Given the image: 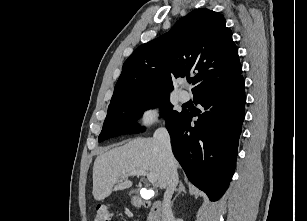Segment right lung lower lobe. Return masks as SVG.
<instances>
[{
    "label": "right lung lower lobe",
    "instance_id": "right-lung-lower-lobe-1",
    "mask_svg": "<svg viewBox=\"0 0 307 221\" xmlns=\"http://www.w3.org/2000/svg\"><path fill=\"white\" fill-rule=\"evenodd\" d=\"M244 80L238 84L194 97L197 109L195 126L192 114L181 115L166 124L174 156L188 179L203 190L211 201L227 189L236 166L238 141L244 120Z\"/></svg>",
    "mask_w": 307,
    "mask_h": 221
}]
</instances>
